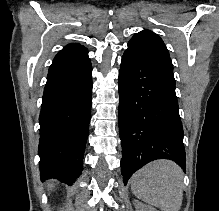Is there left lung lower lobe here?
Returning a JSON list of instances; mask_svg holds the SVG:
<instances>
[{
    "label": "left lung lower lobe",
    "mask_w": 219,
    "mask_h": 211,
    "mask_svg": "<svg viewBox=\"0 0 219 211\" xmlns=\"http://www.w3.org/2000/svg\"><path fill=\"white\" fill-rule=\"evenodd\" d=\"M121 173L132 174L156 159H170L185 170L183 127L174 75L125 51L119 71Z\"/></svg>",
    "instance_id": "0a47b994"
}]
</instances>
